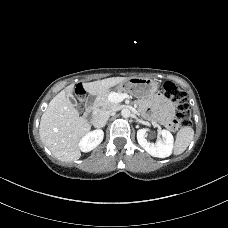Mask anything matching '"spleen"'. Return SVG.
<instances>
[{"label":"spleen","mask_w":228,"mask_h":228,"mask_svg":"<svg viewBox=\"0 0 228 228\" xmlns=\"http://www.w3.org/2000/svg\"><path fill=\"white\" fill-rule=\"evenodd\" d=\"M194 137V130L190 126L182 127L176 135V141L174 145V154L180 155L182 154Z\"/></svg>","instance_id":"obj_1"}]
</instances>
